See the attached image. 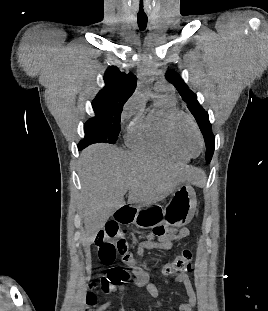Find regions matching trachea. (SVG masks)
<instances>
[{
    "label": "trachea",
    "mask_w": 268,
    "mask_h": 311,
    "mask_svg": "<svg viewBox=\"0 0 268 311\" xmlns=\"http://www.w3.org/2000/svg\"><path fill=\"white\" fill-rule=\"evenodd\" d=\"M147 15H137V23L140 30H145L147 27Z\"/></svg>",
    "instance_id": "1"
}]
</instances>
